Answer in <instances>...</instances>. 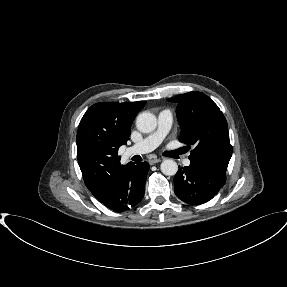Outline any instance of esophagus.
<instances>
[{
  "mask_svg": "<svg viewBox=\"0 0 287 287\" xmlns=\"http://www.w3.org/2000/svg\"><path fill=\"white\" fill-rule=\"evenodd\" d=\"M162 161V159L161 158H153V159H151V160H149V164L150 165H154V164H156V163H159V162H161Z\"/></svg>",
  "mask_w": 287,
  "mask_h": 287,
  "instance_id": "1",
  "label": "esophagus"
}]
</instances>
